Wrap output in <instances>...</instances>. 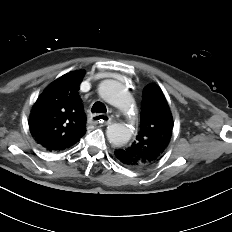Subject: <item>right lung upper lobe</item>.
<instances>
[{
	"label": "right lung upper lobe",
	"mask_w": 232,
	"mask_h": 232,
	"mask_svg": "<svg viewBox=\"0 0 232 232\" xmlns=\"http://www.w3.org/2000/svg\"><path fill=\"white\" fill-rule=\"evenodd\" d=\"M84 70L69 72L39 95L29 117L30 133L50 152H60L76 144L86 131V115L79 97Z\"/></svg>",
	"instance_id": "cb5924a9"
}]
</instances>
